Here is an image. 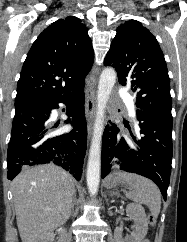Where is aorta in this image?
<instances>
[{
    "label": "aorta",
    "instance_id": "obj_1",
    "mask_svg": "<svg viewBox=\"0 0 187 242\" xmlns=\"http://www.w3.org/2000/svg\"><path fill=\"white\" fill-rule=\"evenodd\" d=\"M116 77L117 75L113 68H105L100 75L98 83L97 112L93 129V137L89 150L86 174L87 186L92 195L97 194L99 187L104 113L109 96L116 82Z\"/></svg>",
    "mask_w": 187,
    "mask_h": 242
}]
</instances>
